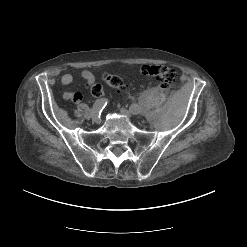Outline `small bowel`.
<instances>
[{"label": "small bowel", "instance_id": "small-bowel-1", "mask_svg": "<svg viewBox=\"0 0 247 247\" xmlns=\"http://www.w3.org/2000/svg\"><path fill=\"white\" fill-rule=\"evenodd\" d=\"M81 77L82 79L85 81L86 86L88 88H91L94 85L95 82V76L93 75V73L89 70H83L81 72ZM73 81V76L71 74H64L61 77V83L65 86L70 85ZM64 98L65 99H71L74 102H80L82 100V94L77 92V93H65L64 94Z\"/></svg>", "mask_w": 247, "mask_h": 247}]
</instances>
